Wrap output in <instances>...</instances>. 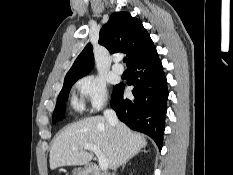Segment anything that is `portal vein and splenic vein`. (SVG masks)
Here are the masks:
<instances>
[{"label": "portal vein and splenic vein", "instance_id": "18ae733b", "mask_svg": "<svg viewBox=\"0 0 233 175\" xmlns=\"http://www.w3.org/2000/svg\"><path fill=\"white\" fill-rule=\"evenodd\" d=\"M81 148L94 152V154L98 157L100 169L107 170V168L109 166V162H108L107 158H105L103 156V154L101 153V150L98 146H96L94 144H85Z\"/></svg>", "mask_w": 233, "mask_h": 175}]
</instances>
